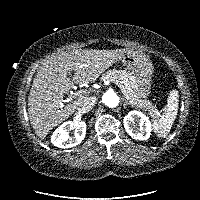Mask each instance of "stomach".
Listing matches in <instances>:
<instances>
[{"label":"stomach","instance_id":"stomach-1","mask_svg":"<svg viewBox=\"0 0 200 200\" xmlns=\"http://www.w3.org/2000/svg\"><path fill=\"white\" fill-rule=\"evenodd\" d=\"M123 66L135 78V91L140 98H146L150 93L153 65L149 57L141 52L127 49L119 58Z\"/></svg>","mask_w":200,"mask_h":200}]
</instances>
